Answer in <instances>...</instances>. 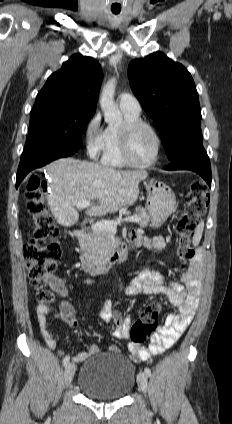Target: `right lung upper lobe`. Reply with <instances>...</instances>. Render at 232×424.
Here are the masks:
<instances>
[{
  "label": "right lung upper lobe",
  "instance_id": "obj_1",
  "mask_svg": "<svg viewBox=\"0 0 232 424\" xmlns=\"http://www.w3.org/2000/svg\"><path fill=\"white\" fill-rule=\"evenodd\" d=\"M102 79V68L95 59L73 55L49 76L37 94L33 109L73 106L95 112Z\"/></svg>",
  "mask_w": 232,
  "mask_h": 424
}]
</instances>
